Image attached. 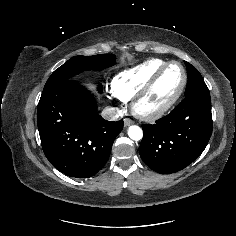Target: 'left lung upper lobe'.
Returning a JSON list of instances; mask_svg holds the SVG:
<instances>
[{
    "label": "left lung upper lobe",
    "mask_w": 236,
    "mask_h": 236,
    "mask_svg": "<svg viewBox=\"0 0 236 236\" xmlns=\"http://www.w3.org/2000/svg\"><path fill=\"white\" fill-rule=\"evenodd\" d=\"M185 64L187 67V76H188V82H187V87L185 90V96H188L194 92L208 90V88H207L201 74L198 72V70L186 61H185Z\"/></svg>",
    "instance_id": "obj_1"
}]
</instances>
